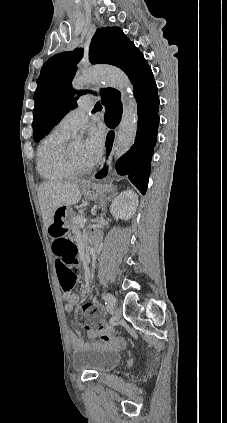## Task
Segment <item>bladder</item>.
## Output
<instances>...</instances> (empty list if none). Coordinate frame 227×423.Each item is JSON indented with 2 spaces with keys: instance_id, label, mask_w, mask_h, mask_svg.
<instances>
[{
  "instance_id": "1",
  "label": "bladder",
  "mask_w": 227,
  "mask_h": 423,
  "mask_svg": "<svg viewBox=\"0 0 227 423\" xmlns=\"http://www.w3.org/2000/svg\"><path fill=\"white\" fill-rule=\"evenodd\" d=\"M122 363V355L112 349H99L88 346L73 355L76 371L89 370L98 375L113 370Z\"/></svg>"
}]
</instances>
